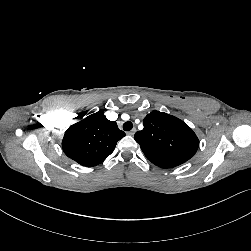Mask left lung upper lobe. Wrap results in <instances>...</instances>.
I'll return each instance as SVG.
<instances>
[{
  "label": "left lung upper lobe",
  "instance_id": "1",
  "mask_svg": "<svg viewBox=\"0 0 251 251\" xmlns=\"http://www.w3.org/2000/svg\"><path fill=\"white\" fill-rule=\"evenodd\" d=\"M144 128L136 132L149 161L161 168H173L188 161L197 151L199 140L182 120L167 113L152 111L143 120Z\"/></svg>",
  "mask_w": 251,
  "mask_h": 251
}]
</instances>
